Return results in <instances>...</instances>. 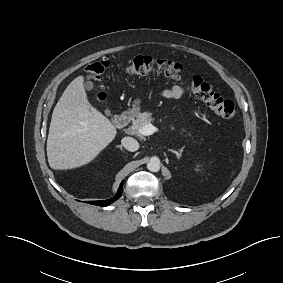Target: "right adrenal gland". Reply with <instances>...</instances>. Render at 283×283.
Instances as JSON below:
<instances>
[{"mask_svg": "<svg viewBox=\"0 0 283 283\" xmlns=\"http://www.w3.org/2000/svg\"><path fill=\"white\" fill-rule=\"evenodd\" d=\"M117 147L120 148L122 151H124L121 145H119V146H117Z\"/></svg>", "mask_w": 283, "mask_h": 283, "instance_id": "2a0ac1e0", "label": "right adrenal gland"}]
</instances>
